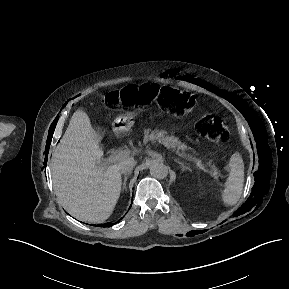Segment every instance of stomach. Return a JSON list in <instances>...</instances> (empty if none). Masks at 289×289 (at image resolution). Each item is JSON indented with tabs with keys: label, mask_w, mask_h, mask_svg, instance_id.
Listing matches in <instances>:
<instances>
[{
	"label": "stomach",
	"mask_w": 289,
	"mask_h": 289,
	"mask_svg": "<svg viewBox=\"0 0 289 289\" xmlns=\"http://www.w3.org/2000/svg\"><path fill=\"white\" fill-rule=\"evenodd\" d=\"M133 126V115L131 113H126L114 122V129L117 132H124L131 129Z\"/></svg>",
	"instance_id": "stomach-1"
}]
</instances>
